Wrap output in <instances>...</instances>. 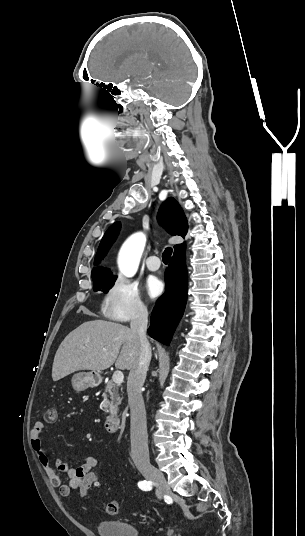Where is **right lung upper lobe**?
Listing matches in <instances>:
<instances>
[{
  "mask_svg": "<svg viewBox=\"0 0 305 536\" xmlns=\"http://www.w3.org/2000/svg\"><path fill=\"white\" fill-rule=\"evenodd\" d=\"M158 221L164 225L167 231L171 235H179L184 237L188 230V223L185 214L178 204V202L170 197L160 206L158 212ZM120 231V223L116 222L111 225L105 232L97 254L95 256L94 265H99L103 256L107 253L109 247L115 241ZM185 252V243L178 244L174 247V255ZM109 277H115L112 275L109 269L102 266L96 267L92 270V279H104Z\"/></svg>",
  "mask_w": 305,
  "mask_h": 536,
  "instance_id": "cb5924a9",
  "label": "right lung upper lobe"
}]
</instances>
